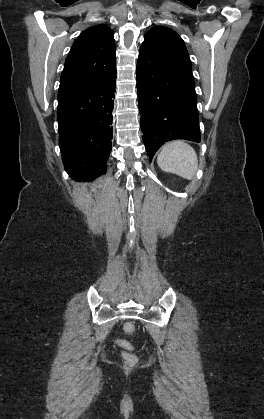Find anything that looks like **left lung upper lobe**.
Listing matches in <instances>:
<instances>
[{"instance_id":"5c2ea615","label":"left lung upper lobe","mask_w":264,"mask_h":419,"mask_svg":"<svg viewBox=\"0 0 264 419\" xmlns=\"http://www.w3.org/2000/svg\"><path fill=\"white\" fill-rule=\"evenodd\" d=\"M147 37H167V38H169L172 41V44L174 45L177 52L185 58V62L187 64L188 70L190 72H192L191 71V61L189 59L187 49L184 45L183 40L179 37V35L177 33H175L174 31H172L169 28L158 26V27H155V28H152L151 30H149L145 35V38H147Z\"/></svg>"}]
</instances>
